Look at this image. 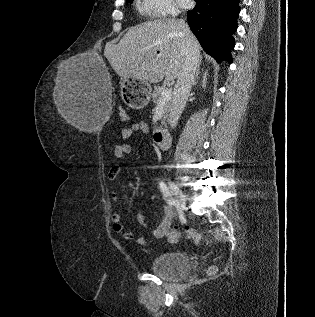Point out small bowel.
Here are the masks:
<instances>
[{
  "label": "small bowel",
  "instance_id": "obj_1",
  "mask_svg": "<svg viewBox=\"0 0 315 317\" xmlns=\"http://www.w3.org/2000/svg\"><path fill=\"white\" fill-rule=\"evenodd\" d=\"M142 133V134H148L149 133V126L147 123L143 121L134 122L130 125L123 127L120 130V134L123 138H130L134 134ZM132 152V147L128 143H123L120 145L115 146L113 150V159H122L125 156L129 155ZM121 172V167L118 165H114L110 168L107 178L110 181H113L117 178L119 173ZM111 198L113 201H117L120 198V195L118 192H112ZM172 217L173 213L169 206H164V215L160 222V224L152 230V235L154 238H169V233L172 228ZM137 220L138 222L144 226L147 227V223L145 221V217L142 212H138L137 214ZM111 221H112V228L113 230L118 233L123 239L125 240H133L136 244L140 246L147 245L149 241L143 236L135 235L133 232L126 229L125 225L121 221V216L118 213H113L111 215Z\"/></svg>",
  "mask_w": 315,
  "mask_h": 317
}]
</instances>
